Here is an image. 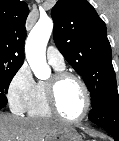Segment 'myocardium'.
I'll list each match as a JSON object with an SVG mask.
<instances>
[{"mask_svg":"<svg viewBox=\"0 0 119 141\" xmlns=\"http://www.w3.org/2000/svg\"><path fill=\"white\" fill-rule=\"evenodd\" d=\"M66 79H74L81 86L85 96V108L83 113L76 118H68L62 114L57 103V88ZM45 95L49 110L57 118L72 123H78L84 120L91 109V95L86 83L78 75L69 71H56L50 80L45 83Z\"/></svg>","mask_w":119,"mask_h":141,"instance_id":"obj_1","label":"myocardium"}]
</instances>
